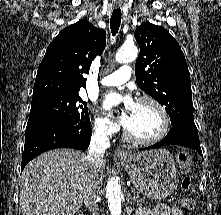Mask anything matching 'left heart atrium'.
<instances>
[{
  "label": "left heart atrium",
  "instance_id": "1",
  "mask_svg": "<svg viewBox=\"0 0 221 215\" xmlns=\"http://www.w3.org/2000/svg\"><path fill=\"white\" fill-rule=\"evenodd\" d=\"M117 106H120L121 109L118 119L121 124L127 126L136 107V102L127 95L117 93L108 94L103 101V108L111 112Z\"/></svg>",
  "mask_w": 221,
  "mask_h": 215
}]
</instances>
